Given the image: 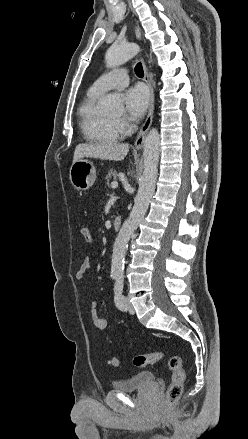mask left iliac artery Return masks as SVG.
<instances>
[{
	"label": "left iliac artery",
	"instance_id": "44dca946",
	"mask_svg": "<svg viewBox=\"0 0 248 439\" xmlns=\"http://www.w3.org/2000/svg\"><path fill=\"white\" fill-rule=\"evenodd\" d=\"M123 287H124L123 276L122 275L116 276V283L114 286V294H115L114 302L119 310L126 311L125 297L122 294Z\"/></svg>",
	"mask_w": 248,
	"mask_h": 439
}]
</instances>
